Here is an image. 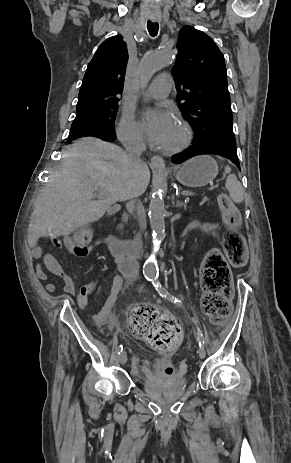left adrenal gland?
I'll return each mask as SVG.
<instances>
[{
	"label": "left adrenal gland",
	"mask_w": 291,
	"mask_h": 463,
	"mask_svg": "<svg viewBox=\"0 0 291 463\" xmlns=\"http://www.w3.org/2000/svg\"><path fill=\"white\" fill-rule=\"evenodd\" d=\"M174 198H175V196H174V195H172V204H173V205H175L176 207H180V206H183V203H182V202H180V201H177V202H176V204H175V203H174Z\"/></svg>",
	"instance_id": "obj_1"
}]
</instances>
